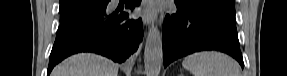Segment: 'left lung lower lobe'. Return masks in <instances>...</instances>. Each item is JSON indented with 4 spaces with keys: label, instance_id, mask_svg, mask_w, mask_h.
<instances>
[{
    "label": "left lung lower lobe",
    "instance_id": "0a47b994",
    "mask_svg": "<svg viewBox=\"0 0 287 76\" xmlns=\"http://www.w3.org/2000/svg\"><path fill=\"white\" fill-rule=\"evenodd\" d=\"M176 5L177 13L165 18L164 67L193 52L217 50L231 55L243 68L237 30L194 8Z\"/></svg>",
    "mask_w": 287,
    "mask_h": 76
}]
</instances>
